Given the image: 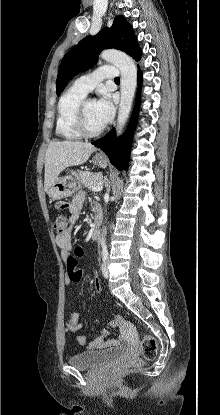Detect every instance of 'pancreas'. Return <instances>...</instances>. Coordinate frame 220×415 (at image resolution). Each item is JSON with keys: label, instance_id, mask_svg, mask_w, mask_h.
<instances>
[{"label": "pancreas", "instance_id": "pancreas-1", "mask_svg": "<svg viewBox=\"0 0 220 415\" xmlns=\"http://www.w3.org/2000/svg\"><path fill=\"white\" fill-rule=\"evenodd\" d=\"M79 176L81 183L88 189H92L102 183L103 179L101 173H93L90 171H80Z\"/></svg>", "mask_w": 220, "mask_h": 415}]
</instances>
